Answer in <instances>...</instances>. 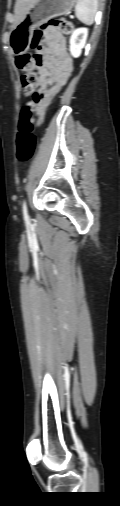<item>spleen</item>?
<instances>
[{"label": "spleen", "mask_w": 120, "mask_h": 506, "mask_svg": "<svg viewBox=\"0 0 120 506\" xmlns=\"http://www.w3.org/2000/svg\"><path fill=\"white\" fill-rule=\"evenodd\" d=\"M98 0H77L76 17L84 24L91 25L97 12Z\"/></svg>", "instance_id": "3e777b00"}]
</instances>
